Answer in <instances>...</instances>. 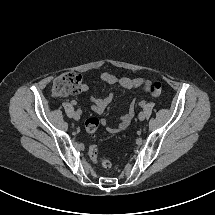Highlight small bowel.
<instances>
[{
  "mask_svg": "<svg viewBox=\"0 0 215 215\" xmlns=\"http://www.w3.org/2000/svg\"><path fill=\"white\" fill-rule=\"evenodd\" d=\"M100 78L106 84L118 85L123 89H127V90L138 88V87H143L145 90H147L150 85V81L144 78L117 77L109 72H103ZM87 90H88V85L84 83L83 91L86 92ZM90 100L92 102L91 110L96 114H102L105 111V109L109 106V104L112 102L113 95L109 94L104 97L91 96ZM133 113H134V107L131 106L129 111L121 117L118 125L113 128H107V130L112 133H118V132L127 130V128L131 123ZM105 124L106 122L103 121V125Z\"/></svg>",
  "mask_w": 215,
  "mask_h": 215,
  "instance_id": "obj_1",
  "label": "small bowel"
}]
</instances>
